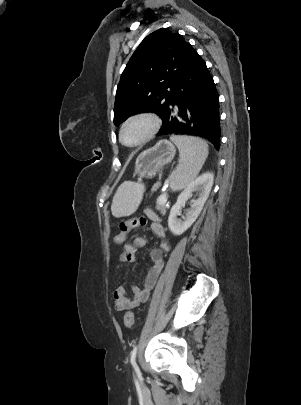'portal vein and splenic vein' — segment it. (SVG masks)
Returning a JSON list of instances; mask_svg holds the SVG:
<instances>
[{
    "label": "portal vein and splenic vein",
    "instance_id": "obj_1",
    "mask_svg": "<svg viewBox=\"0 0 301 405\" xmlns=\"http://www.w3.org/2000/svg\"><path fill=\"white\" fill-rule=\"evenodd\" d=\"M158 201L165 203V202L167 201V198H166L165 195H161V196L158 198Z\"/></svg>",
    "mask_w": 301,
    "mask_h": 405
}]
</instances>
